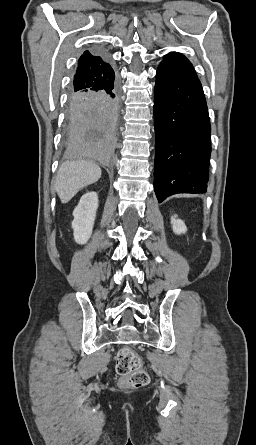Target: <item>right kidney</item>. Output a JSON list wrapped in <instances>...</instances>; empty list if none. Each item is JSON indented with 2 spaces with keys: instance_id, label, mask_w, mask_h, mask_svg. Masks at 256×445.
<instances>
[{
  "instance_id": "right-kidney-1",
  "label": "right kidney",
  "mask_w": 256,
  "mask_h": 445,
  "mask_svg": "<svg viewBox=\"0 0 256 445\" xmlns=\"http://www.w3.org/2000/svg\"><path fill=\"white\" fill-rule=\"evenodd\" d=\"M97 208V193L87 192L81 197L77 207L74 209L72 228L74 240L78 244H85L91 237Z\"/></svg>"
}]
</instances>
